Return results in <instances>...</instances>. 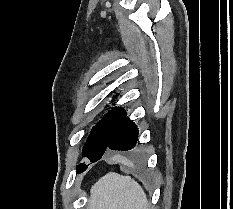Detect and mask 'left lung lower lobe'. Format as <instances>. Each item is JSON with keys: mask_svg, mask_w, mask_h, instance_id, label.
<instances>
[{"mask_svg": "<svg viewBox=\"0 0 233 209\" xmlns=\"http://www.w3.org/2000/svg\"><path fill=\"white\" fill-rule=\"evenodd\" d=\"M138 139V129L134 123L130 121L128 117L120 122L115 131L113 132L106 151L110 150H122L127 151L134 147ZM91 162H96L100 158L89 157ZM87 169V165L81 163L77 166V173L84 172Z\"/></svg>", "mask_w": 233, "mask_h": 209, "instance_id": "obj_1", "label": "left lung lower lobe"}]
</instances>
